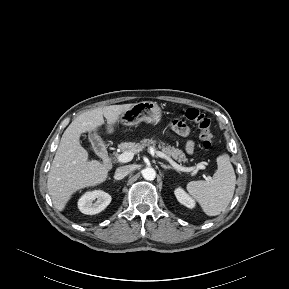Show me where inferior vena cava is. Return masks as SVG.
<instances>
[{
    "label": "inferior vena cava",
    "instance_id": "obj_1",
    "mask_svg": "<svg viewBox=\"0 0 289 289\" xmlns=\"http://www.w3.org/2000/svg\"><path fill=\"white\" fill-rule=\"evenodd\" d=\"M131 171H133V166L126 165L116 169L115 179L120 180L127 176Z\"/></svg>",
    "mask_w": 289,
    "mask_h": 289
}]
</instances>
